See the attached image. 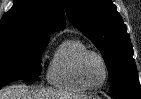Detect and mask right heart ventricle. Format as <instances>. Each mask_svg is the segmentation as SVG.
<instances>
[{"label": "right heart ventricle", "mask_w": 141, "mask_h": 99, "mask_svg": "<svg viewBox=\"0 0 141 99\" xmlns=\"http://www.w3.org/2000/svg\"><path fill=\"white\" fill-rule=\"evenodd\" d=\"M87 47L76 37L63 40L55 49L47 68L48 82L65 91L84 92L87 88L79 81L76 65Z\"/></svg>", "instance_id": "e07e8e85"}]
</instances>
